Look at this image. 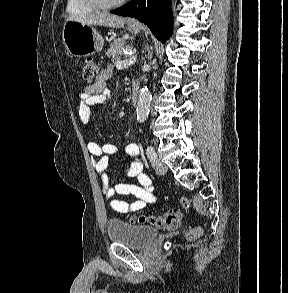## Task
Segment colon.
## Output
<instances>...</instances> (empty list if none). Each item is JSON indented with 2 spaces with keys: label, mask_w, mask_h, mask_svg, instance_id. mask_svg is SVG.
Masks as SVG:
<instances>
[{
  "label": "colon",
  "mask_w": 288,
  "mask_h": 293,
  "mask_svg": "<svg viewBox=\"0 0 288 293\" xmlns=\"http://www.w3.org/2000/svg\"><path fill=\"white\" fill-rule=\"evenodd\" d=\"M82 74L87 82L92 83L99 74L98 64L92 59H86L82 66ZM182 204L185 208H188L190 205L189 201L185 198L182 199ZM138 221L141 223L149 221L159 228L174 229L181 225L182 214L179 210L172 209L156 217L146 218L142 216ZM201 233V229H193L187 233V239L191 241L195 240L201 236Z\"/></svg>",
  "instance_id": "obj_1"
}]
</instances>
